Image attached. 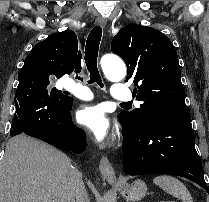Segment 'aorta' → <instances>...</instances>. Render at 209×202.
<instances>
[{
  "label": "aorta",
  "mask_w": 209,
  "mask_h": 202,
  "mask_svg": "<svg viewBox=\"0 0 209 202\" xmlns=\"http://www.w3.org/2000/svg\"><path fill=\"white\" fill-rule=\"evenodd\" d=\"M101 67L105 76L111 81L118 82L126 76V66L117 56L105 55L102 57Z\"/></svg>",
  "instance_id": "1"
}]
</instances>
